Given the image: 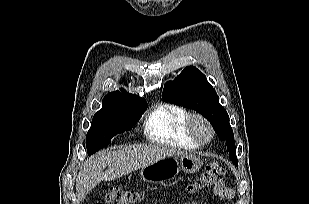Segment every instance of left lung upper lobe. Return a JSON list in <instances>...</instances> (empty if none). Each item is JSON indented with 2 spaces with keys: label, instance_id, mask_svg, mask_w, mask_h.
I'll list each match as a JSON object with an SVG mask.
<instances>
[{
  "label": "left lung upper lobe",
  "instance_id": "1",
  "mask_svg": "<svg viewBox=\"0 0 309 204\" xmlns=\"http://www.w3.org/2000/svg\"><path fill=\"white\" fill-rule=\"evenodd\" d=\"M163 100L195 110L214 127L221 140H225L230 160L237 165L235 140L229 116L219 103V97L204 74L188 66L173 81L165 83Z\"/></svg>",
  "mask_w": 309,
  "mask_h": 204
}]
</instances>
